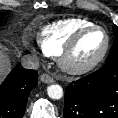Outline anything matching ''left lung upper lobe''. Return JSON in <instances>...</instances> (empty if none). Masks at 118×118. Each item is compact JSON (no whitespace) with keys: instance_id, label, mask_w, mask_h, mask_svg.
I'll return each mask as SVG.
<instances>
[{"instance_id":"1","label":"left lung upper lobe","mask_w":118,"mask_h":118,"mask_svg":"<svg viewBox=\"0 0 118 118\" xmlns=\"http://www.w3.org/2000/svg\"><path fill=\"white\" fill-rule=\"evenodd\" d=\"M113 33L115 35V39L111 52L105 61V65L118 62V27L116 25L113 26Z\"/></svg>"}]
</instances>
